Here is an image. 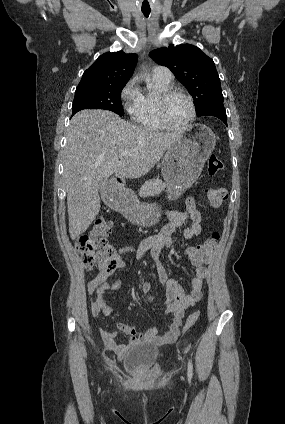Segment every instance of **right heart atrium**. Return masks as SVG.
I'll return each mask as SVG.
<instances>
[{
    "label": "right heart atrium",
    "instance_id": "obj_1",
    "mask_svg": "<svg viewBox=\"0 0 285 424\" xmlns=\"http://www.w3.org/2000/svg\"><path fill=\"white\" fill-rule=\"evenodd\" d=\"M122 106L125 112L135 120L141 106L142 94L138 87L137 79L131 78L122 88L120 93Z\"/></svg>",
    "mask_w": 285,
    "mask_h": 424
}]
</instances>
